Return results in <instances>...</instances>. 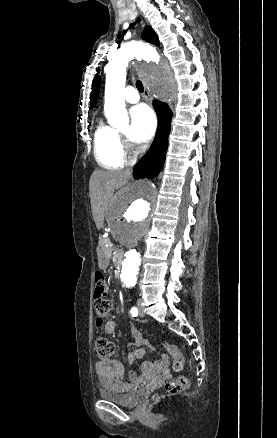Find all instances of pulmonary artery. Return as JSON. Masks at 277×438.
<instances>
[{"label": "pulmonary artery", "mask_w": 277, "mask_h": 438, "mask_svg": "<svg viewBox=\"0 0 277 438\" xmlns=\"http://www.w3.org/2000/svg\"><path fill=\"white\" fill-rule=\"evenodd\" d=\"M139 89L137 87H127L125 89V96L123 97V101L135 104L139 101Z\"/></svg>", "instance_id": "obj_1"}]
</instances>
